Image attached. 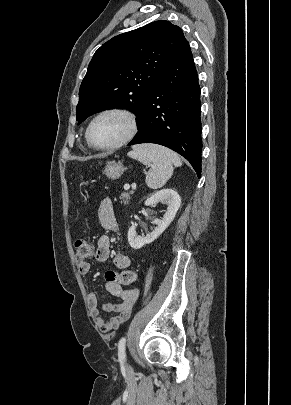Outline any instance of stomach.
Masks as SVG:
<instances>
[{"mask_svg": "<svg viewBox=\"0 0 291 405\" xmlns=\"http://www.w3.org/2000/svg\"><path fill=\"white\" fill-rule=\"evenodd\" d=\"M125 170L126 167H124L121 163H111L106 166L104 174L108 178L117 179L123 174Z\"/></svg>", "mask_w": 291, "mask_h": 405, "instance_id": "1", "label": "stomach"}]
</instances>
